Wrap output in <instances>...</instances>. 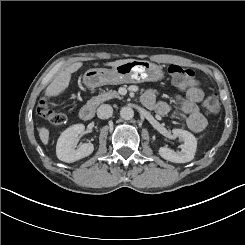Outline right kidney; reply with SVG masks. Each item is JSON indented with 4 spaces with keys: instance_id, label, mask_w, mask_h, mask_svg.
Instances as JSON below:
<instances>
[{
    "instance_id": "right-kidney-1",
    "label": "right kidney",
    "mask_w": 245,
    "mask_h": 245,
    "mask_svg": "<svg viewBox=\"0 0 245 245\" xmlns=\"http://www.w3.org/2000/svg\"><path fill=\"white\" fill-rule=\"evenodd\" d=\"M84 129L83 124H76L60 135L57 141L56 155L61 161L72 163L93 153L94 145L92 143H84L79 146L74 144Z\"/></svg>"
}]
</instances>
